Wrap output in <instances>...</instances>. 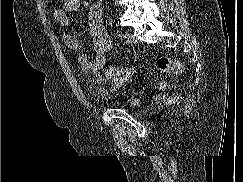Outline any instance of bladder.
Instances as JSON below:
<instances>
[{
    "instance_id": "1",
    "label": "bladder",
    "mask_w": 243,
    "mask_h": 182,
    "mask_svg": "<svg viewBox=\"0 0 243 182\" xmlns=\"http://www.w3.org/2000/svg\"><path fill=\"white\" fill-rule=\"evenodd\" d=\"M121 107L127 110L136 111L141 107V100L137 97H131L122 103Z\"/></svg>"
}]
</instances>
